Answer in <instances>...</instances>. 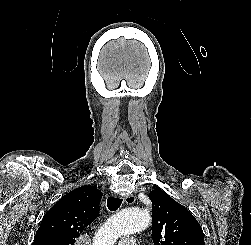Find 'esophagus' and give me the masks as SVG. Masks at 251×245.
<instances>
[{"label": "esophagus", "instance_id": "esophagus-1", "mask_svg": "<svg viewBox=\"0 0 251 245\" xmlns=\"http://www.w3.org/2000/svg\"><path fill=\"white\" fill-rule=\"evenodd\" d=\"M135 196L134 195H128L124 198V202L126 204H133L135 202Z\"/></svg>", "mask_w": 251, "mask_h": 245}]
</instances>
